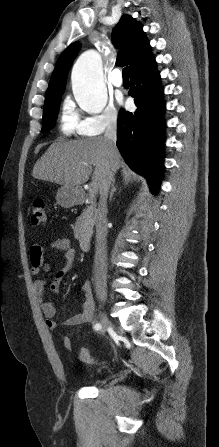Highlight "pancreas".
I'll list each match as a JSON object with an SVG mask.
<instances>
[{
    "instance_id": "pancreas-1",
    "label": "pancreas",
    "mask_w": 219,
    "mask_h": 447,
    "mask_svg": "<svg viewBox=\"0 0 219 447\" xmlns=\"http://www.w3.org/2000/svg\"><path fill=\"white\" fill-rule=\"evenodd\" d=\"M90 206L83 210V213L77 218L74 228V236L77 239L90 238L93 233L98 210L95 205V197L89 195Z\"/></svg>"
}]
</instances>
